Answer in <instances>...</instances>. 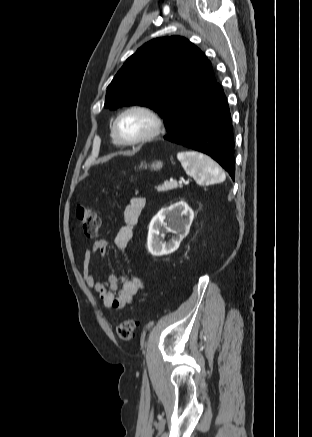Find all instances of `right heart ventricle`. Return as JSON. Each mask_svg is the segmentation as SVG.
<instances>
[{
	"instance_id": "right-heart-ventricle-1",
	"label": "right heart ventricle",
	"mask_w": 312,
	"mask_h": 437,
	"mask_svg": "<svg viewBox=\"0 0 312 437\" xmlns=\"http://www.w3.org/2000/svg\"><path fill=\"white\" fill-rule=\"evenodd\" d=\"M110 136H111L112 143H113L114 145H116V146L121 145V143L119 142V140L117 139V137H116V135H115V133H114L113 127H112V129H111Z\"/></svg>"
}]
</instances>
